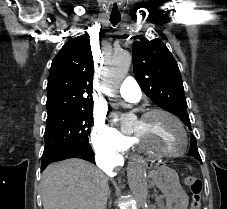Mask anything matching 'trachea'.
Here are the masks:
<instances>
[{"instance_id": "1", "label": "trachea", "mask_w": 227, "mask_h": 209, "mask_svg": "<svg viewBox=\"0 0 227 209\" xmlns=\"http://www.w3.org/2000/svg\"><path fill=\"white\" fill-rule=\"evenodd\" d=\"M121 20V15L120 13H111L110 15V22L112 23L113 26L118 25V23Z\"/></svg>"}]
</instances>
